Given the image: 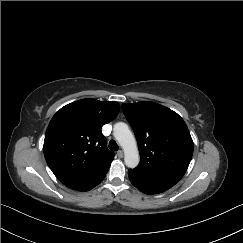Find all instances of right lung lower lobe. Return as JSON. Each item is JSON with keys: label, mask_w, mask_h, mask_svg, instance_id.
Returning a JSON list of instances; mask_svg holds the SVG:
<instances>
[{"label": "right lung lower lobe", "mask_w": 243, "mask_h": 243, "mask_svg": "<svg viewBox=\"0 0 243 243\" xmlns=\"http://www.w3.org/2000/svg\"><path fill=\"white\" fill-rule=\"evenodd\" d=\"M109 167L102 169L101 171H99L98 173H96L95 175L91 176L88 179L67 185V187L78 191H88L93 187H95L96 185H98L99 183H101Z\"/></svg>", "instance_id": "obj_1"}]
</instances>
